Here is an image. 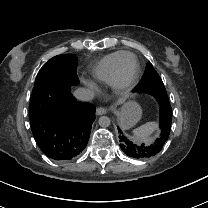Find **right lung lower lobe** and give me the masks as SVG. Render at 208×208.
Here are the masks:
<instances>
[{"instance_id":"right-lung-lower-lobe-1","label":"right lung lower lobe","mask_w":208,"mask_h":208,"mask_svg":"<svg viewBox=\"0 0 208 208\" xmlns=\"http://www.w3.org/2000/svg\"><path fill=\"white\" fill-rule=\"evenodd\" d=\"M38 88L32 96L37 116L30 119L34 139L41 151L56 161L77 157L86 147L95 120V106L77 101L70 91L54 84Z\"/></svg>"}]
</instances>
